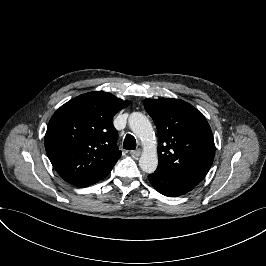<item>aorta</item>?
I'll use <instances>...</instances> for the list:
<instances>
[{
    "label": "aorta",
    "mask_w": 266,
    "mask_h": 266,
    "mask_svg": "<svg viewBox=\"0 0 266 266\" xmlns=\"http://www.w3.org/2000/svg\"><path fill=\"white\" fill-rule=\"evenodd\" d=\"M129 127L132 132L141 139L142 143H150L153 146L145 148L139 158V167L147 174L154 173L158 166V156L156 142L154 141V131L149 119L140 112H133L128 119Z\"/></svg>",
    "instance_id": "obj_1"
}]
</instances>
